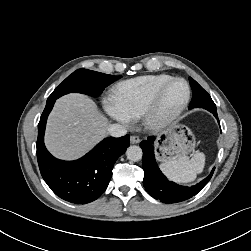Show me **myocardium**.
Masks as SVG:
<instances>
[{"mask_svg":"<svg viewBox=\"0 0 251 251\" xmlns=\"http://www.w3.org/2000/svg\"><path fill=\"white\" fill-rule=\"evenodd\" d=\"M176 82L184 83L186 87V97L184 101L181 103V105L178 106L175 110L166 115H163L160 112L162 97L167 88ZM190 98H191V88L189 83L184 78L176 77L168 80L155 91L149 104L147 105L143 114L141 115L144 126L148 130L154 132L167 128L172 123H174L178 119V117L182 114V112L186 109V107L189 104Z\"/></svg>","mask_w":251,"mask_h":251,"instance_id":"f54148a6","label":"myocardium"}]
</instances>
